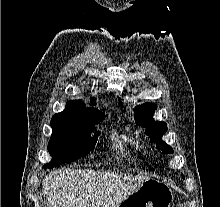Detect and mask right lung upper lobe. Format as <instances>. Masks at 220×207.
I'll return each mask as SVG.
<instances>
[{
	"mask_svg": "<svg viewBox=\"0 0 220 207\" xmlns=\"http://www.w3.org/2000/svg\"><path fill=\"white\" fill-rule=\"evenodd\" d=\"M91 104L92 105L95 104L94 99H92ZM71 105H74L78 109V111L85 113V114H88V115H91L94 118H97L98 120H103L105 117L104 113H102L101 111H99L93 107L86 108L85 104L81 100L73 101Z\"/></svg>",
	"mask_w": 220,
	"mask_h": 207,
	"instance_id": "1",
	"label": "right lung upper lobe"
}]
</instances>
